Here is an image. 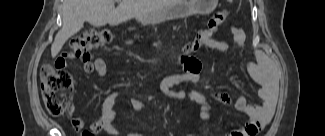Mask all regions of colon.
<instances>
[{
	"instance_id": "obj_1",
	"label": "colon",
	"mask_w": 325,
	"mask_h": 136,
	"mask_svg": "<svg viewBox=\"0 0 325 136\" xmlns=\"http://www.w3.org/2000/svg\"><path fill=\"white\" fill-rule=\"evenodd\" d=\"M228 16L227 11L221 10L214 14L207 26L208 29L219 28ZM205 29L200 30L194 39L184 46V53L190 54L203 46V33ZM112 41V33L107 29H92L73 38L70 42L69 55L72 58H78L88 62L91 53L106 47ZM183 59H188L183 57ZM41 91L46 110L51 115H61L70 107L69 89L63 85V81L57 73L55 67L51 65L44 66L41 70ZM82 136H94L90 130H85Z\"/></svg>"
}]
</instances>
